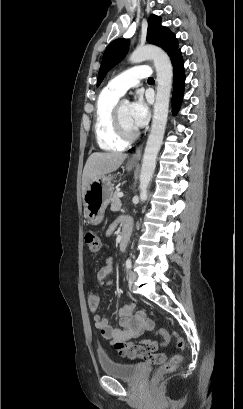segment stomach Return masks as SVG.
Segmentation results:
<instances>
[{
  "instance_id": "obj_1",
  "label": "stomach",
  "mask_w": 243,
  "mask_h": 409,
  "mask_svg": "<svg viewBox=\"0 0 243 409\" xmlns=\"http://www.w3.org/2000/svg\"><path fill=\"white\" fill-rule=\"evenodd\" d=\"M135 167L133 163H127L128 171ZM113 175H104L99 179L92 180L83 194L85 216L90 224L98 225L104 217V212L111 202L113 195Z\"/></svg>"
}]
</instances>
